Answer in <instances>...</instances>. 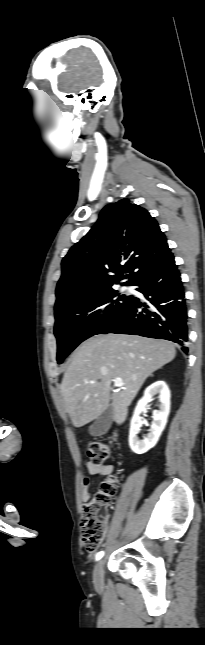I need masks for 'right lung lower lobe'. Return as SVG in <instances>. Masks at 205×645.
Segmentation results:
<instances>
[{
	"instance_id": "1",
	"label": "right lung lower lobe",
	"mask_w": 205,
	"mask_h": 645,
	"mask_svg": "<svg viewBox=\"0 0 205 645\" xmlns=\"http://www.w3.org/2000/svg\"><path fill=\"white\" fill-rule=\"evenodd\" d=\"M131 285L148 300L132 297L116 322L101 334H132L166 339L187 353L188 327L185 292L174 256L143 272ZM139 308H142L139 311Z\"/></svg>"
}]
</instances>
